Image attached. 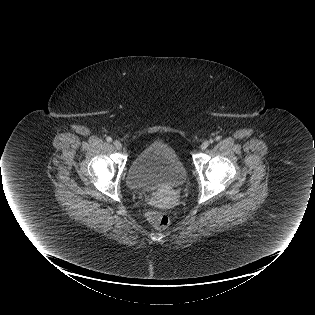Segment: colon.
Returning a JSON list of instances; mask_svg holds the SVG:
<instances>
[{"instance_id":"1","label":"colon","mask_w":315,"mask_h":315,"mask_svg":"<svg viewBox=\"0 0 315 315\" xmlns=\"http://www.w3.org/2000/svg\"><path fill=\"white\" fill-rule=\"evenodd\" d=\"M145 217L147 221L156 229H166L170 224V219L167 214L159 211H146Z\"/></svg>"}]
</instances>
